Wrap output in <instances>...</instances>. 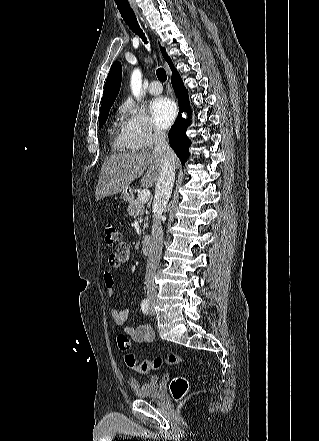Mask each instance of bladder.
Returning a JSON list of instances; mask_svg holds the SVG:
<instances>
[{
  "instance_id": "bladder-1",
  "label": "bladder",
  "mask_w": 319,
  "mask_h": 441,
  "mask_svg": "<svg viewBox=\"0 0 319 441\" xmlns=\"http://www.w3.org/2000/svg\"><path fill=\"white\" fill-rule=\"evenodd\" d=\"M129 384L133 393L138 398H153L159 393V378L156 375L150 376L144 382L131 379Z\"/></svg>"
}]
</instances>
